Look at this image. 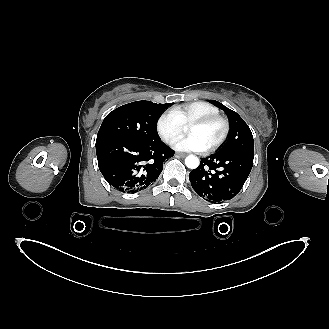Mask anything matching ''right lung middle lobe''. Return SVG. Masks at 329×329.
Returning <instances> with one entry per match:
<instances>
[{
  "label": "right lung middle lobe",
  "mask_w": 329,
  "mask_h": 329,
  "mask_svg": "<svg viewBox=\"0 0 329 329\" xmlns=\"http://www.w3.org/2000/svg\"><path fill=\"white\" fill-rule=\"evenodd\" d=\"M172 104H156L142 100L123 105L105 117L97 138L118 136L139 141H159L161 139L157 133V120Z\"/></svg>",
  "instance_id": "1"
}]
</instances>
